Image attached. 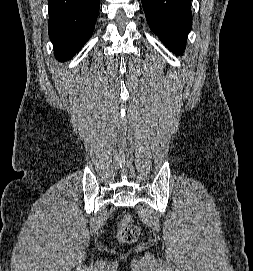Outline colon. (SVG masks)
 <instances>
[{
	"instance_id": "obj_1",
	"label": "colon",
	"mask_w": 253,
	"mask_h": 271,
	"mask_svg": "<svg viewBox=\"0 0 253 271\" xmlns=\"http://www.w3.org/2000/svg\"><path fill=\"white\" fill-rule=\"evenodd\" d=\"M139 234V228L132 223L131 217L128 214L124 215L119 224V240L123 243H133L138 239Z\"/></svg>"
}]
</instances>
